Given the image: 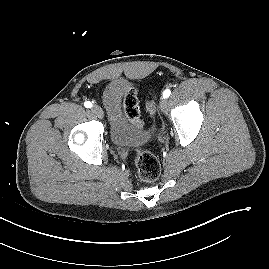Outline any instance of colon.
<instances>
[{"instance_id":"1","label":"colon","mask_w":269,"mask_h":269,"mask_svg":"<svg viewBox=\"0 0 269 269\" xmlns=\"http://www.w3.org/2000/svg\"><path fill=\"white\" fill-rule=\"evenodd\" d=\"M124 112L129 121L138 128H143V122L140 118V108L138 94L135 88H130L123 100ZM146 110L151 117L155 116L156 106L153 101L146 103ZM135 167L140 178L147 182L155 181L161 171L159 160L155 155L148 151L137 152L134 159Z\"/></svg>"}]
</instances>
